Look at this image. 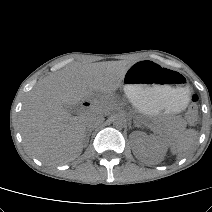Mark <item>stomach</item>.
Segmentation results:
<instances>
[{"mask_svg":"<svg viewBox=\"0 0 212 212\" xmlns=\"http://www.w3.org/2000/svg\"><path fill=\"white\" fill-rule=\"evenodd\" d=\"M184 82L177 72L145 60L129 67L123 89L140 113L155 116L162 111L179 112L187 106L189 88Z\"/></svg>","mask_w":212,"mask_h":212,"instance_id":"0dacf381","label":"stomach"}]
</instances>
